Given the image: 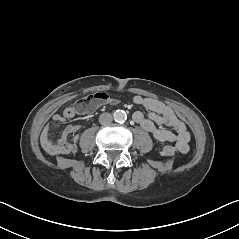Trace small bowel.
<instances>
[{
	"label": "small bowel",
	"mask_w": 239,
	"mask_h": 239,
	"mask_svg": "<svg viewBox=\"0 0 239 239\" xmlns=\"http://www.w3.org/2000/svg\"><path fill=\"white\" fill-rule=\"evenodd\" d=\"M133 102L147 110V117L142 112L133 114V120L136 124L151 133L156 140L173 142L180 152H188L189 132L184 122L170 106L157 99L139 95L133 98ZM71 109L72 107H67L63 114H55L52 121L47 123L42 130L41 144L44 150L52 156L74 153L77 149L78 136L74 134L79 130V125H69L57 139L52 137V130L55 125L63 123L75 115L76 112L72 113ZM93 109H81L77 112L85 113ZM159 125L166 128H161Z\"/></svg>",
	"instance_id": "obj_1"
}]
</instances>
